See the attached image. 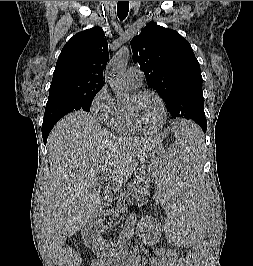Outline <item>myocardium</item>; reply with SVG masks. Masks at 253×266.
<instances>
[{
	"mask_svg": "<svg viewBox=\"0 0 253 266\" xmlns=\"http://www.w3.org/2000/svg\"><path fill=\"white\" fill-rule=\"evenodd\" d=\"M146 95H152L155 98H157V100L159 101L161 108H162V112H163V119L161 124L154 129H145L143 128L138 119H137V115H136V111H135V103L137 100H139L140 98H142L143 96ZM126 108H127V113L129 116V120L130 123L132 125V127L139 133L142 134H155L158 133L160 131H162L168 121V109H167V105L165 100L163 99V97L156 91L151 90V89H142V90H137L134 91L131 96L129 97L128 101L126 102Z\"/></svg>",
	"mask_w": 253,
	"mask_h": 266,
	"instance_id": "myocardium-1",
	"label": "myocardium"
}]
</instances>
